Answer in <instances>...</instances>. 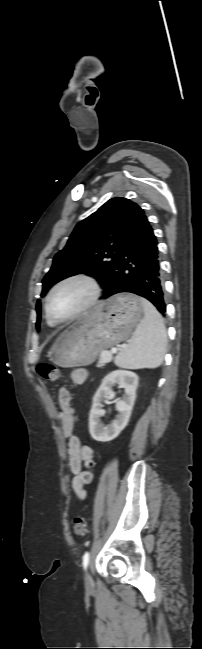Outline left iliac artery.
Segmentation results:
<instances>
[{"mask_svg": "<svg viewBox=\"0 0 202 649\" xmlns=\"http://www.w3.org/2000/svg\"><path fill=\"white\" fill-rule=\"evenodd\" d=\"M88 563H89V552H86L83 555V567H84V569H87Z\"/></svg>", "mask_w": 202, "mask_h": 649, "instance_id": "44dca946", "label": "left iliac artery"}]
</instances>
